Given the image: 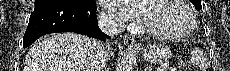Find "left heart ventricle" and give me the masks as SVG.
<instances>
[{
	"mask_svg": "<svg viewBox=\"0 0 230 71\" xmlns=\"http://www.w3.org/2000/svg\"><path fill=\"white\" fill-rule=\"evenodd\" d=\"M143 21L152 29L165 33H180L188 28L187 12L174 0L141 2Z\"/></svg>",
	"mask_w": 230,
	"mask_h": 71,
	"instance_id": "b2bd125f",
	"label": "left heart ventricle"
}]
</instances>
